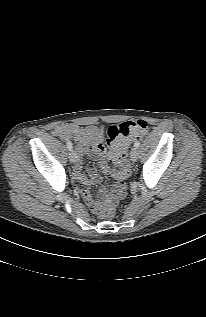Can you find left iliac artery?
I'll return each mask as SVG.
<instances>
[{"instance_id": "obj_1", "label": "left iliac artery", "mask_w": 206, "mask_h": 317, "mask_svg": "<svg viewBox=\"0 0 206 317\" xmlns=\"http://www.w3.org/2000/svg\"><path fill=\"white\" fill-rule=\"evenodd\" d=\"M140 146V142L139 141H136L135 143H134V147L135 148H138Z\"/></svg>"}]
</instances>
